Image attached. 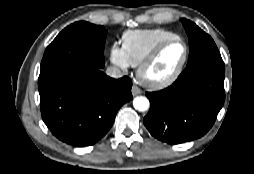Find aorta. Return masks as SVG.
Segmentation results:
<instances>
[{
  "label": "aorta",
  "mask_w": 254,
  "mask_h": 174,
  "mask_svg": "<svg viewBox=\"0 0 254 174\" xmlns=\"http://www.w3.org/2000/svg\"><path fill=\"white\" fill-rule=\"evenodd\" d=\"M133 105L138 111L143 112L148 110L150 103L146 97L140 96L134 99Z\"/></svg>",
  "instance_id": "1"
}]
</instances>
